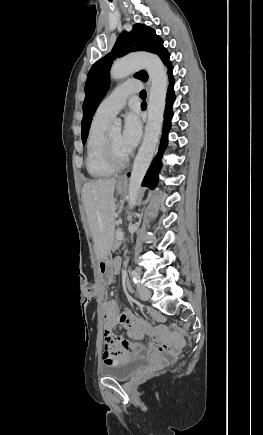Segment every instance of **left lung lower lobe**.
I'll use <instances>...</instances> for the list:
<instances>
[{
  "instance_id": "obj_1",
  "label": "left lung lower lobe",
  "mask_w": 263,
  "mask_h": 435,
  "mask_svg": "<svg viewBox=\"0 0 263 435\" xmlns=\"http://www.w3.org/2000/svg\"><path fill=\"white\" fill-rule=\"evenodd\" d=\"M168 67V74L170 77V86L168 89V93H167V97H166V110H165V114H164V127H163V134H162V138H161V144L159 147V152L157 154V156L155 157L151 167L149 168L147 174L144 177V180L142 182V186H147L151 189H154L158 183V170L161 167V157L164 151V148L167 145V134L170 130V118L172 117V104L175 100L174 97V91H173V76H172V66L171 63L169 62L167 65ZM130 174H128L129 176Z\"/></svg>"
}]
</instances>
